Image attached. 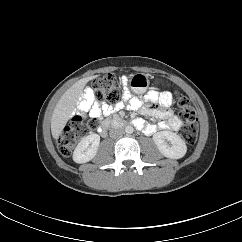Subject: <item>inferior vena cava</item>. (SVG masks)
<instances>
[{"label":"inferior vena cava","mask_w":242,"mask_h":242,"mask_svg":"<svg viewBox=\"0 0 242 242\" xmlns=\"http://www.w3.org/2000/svg\"><path fill=\"white\" fill-rule=\"evenodd\" d=\"M122 134H123V129L121 128H113L110 131V137L114 139L121 137Z\"/></svg>","instance_id":"602c4592"}]
</instances>
